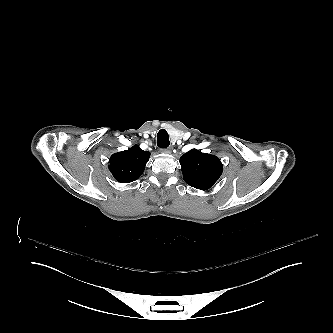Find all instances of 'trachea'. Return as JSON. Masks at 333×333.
<instances>
[{
  "label": "trachea",
  "instance_id": "1",
  "mask_svg": "<svg viewBox=\"0 0 333 333\" xmlns=\"http://www.w3.org/2000/svg\"><path fill=\"white\" fill-rule=\"evenodd\" d=\"M157 145L164 149L170 145L169 136L165 129H161L157 134Z\"/></svg>",
  "mask_w": 333,
  "mask_h": 333
}]
</instances>
